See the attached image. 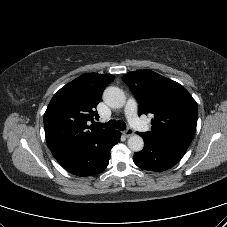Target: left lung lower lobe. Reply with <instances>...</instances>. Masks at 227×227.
<instances>
[{"mask_svg": "<svg viewBox=\"0 0 227 227\" xmlns=\"http://www.w3.org/2000/svg\"><path fill=\"white\" fill-rule=\"evenodd\" d=\"M144 140L142 151L136 152L134 163L145 170L161 172L177 164L188 147L176 142L166 141L138 133Z\"/></svg>", "mask_w": 227, "mask_h": 227, "instance_id": "0a47b994", "label": "left lung lower lobe"}]
</instances>
